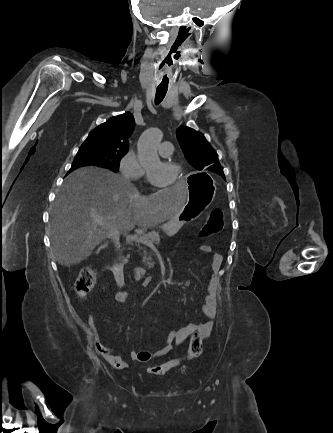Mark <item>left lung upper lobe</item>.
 I'll return each mask as SVG.
<instances>
[{
	"label": "left lung upper lobe",
	"mask_w": 333,
	"mask_h": 433,
	"mask_svg": "<svg viewBox=\"0 0 333 433\" xmlns=\"http://www.w3.org/2000/svg\"><path fill=\"white\" fill-rule=\"evenodd\" d=\"M181 149L188 162L198 170L203 168L217 174H224L216 151L200 132L180 126L176 133Z\"/></svg>",
	"instance_id": "5c2ea615"
}]
</instances>
